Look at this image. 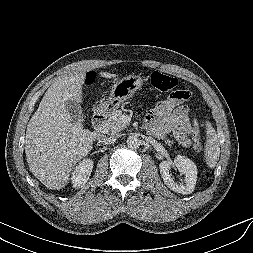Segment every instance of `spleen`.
<instances>
[{"mask_svg":"<svg viewBox=\"0 0 253 253\" xmlns=\"http://www.w3.org/2000/svg\"><path fill=\"white\" fill-rule=\"evenodd\" d=\"M206 144L204 158L209 168H214L220 156V146L215 129L210 122H206Z\"/></svg>","mask_w":253,"mask_h":253,"instance_id":"spleen-1","label":"spleen"}]
</instances>
